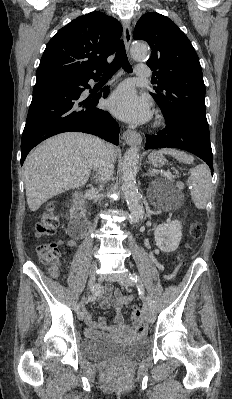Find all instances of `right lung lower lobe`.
Wrapping results in <instances>:
<instances>
[{
    "label": "right lung lower lobe",
    "instance_id": "1",
    "mask_svg": "<svg viewBox=\"0 0 232 399\" xmlns=\"http://www.w3.org/2000/svg\"><path fill=\"white\" fill-rule=\"evenodd\" d=\"M89 76L55 75L36 78L21 141V164L29 151L41 141L67 131L90 133L118 145L119 125L112 116L96 108L98 99L106 98L108 87L85 98Z\"/></svg>",
    "mask_w": 232,
    "mask_h": 399
}]
</instances>
